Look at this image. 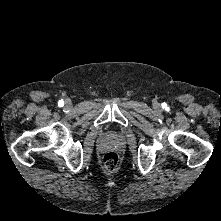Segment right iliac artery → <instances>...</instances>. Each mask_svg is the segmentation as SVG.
Segmentation results:
<instances>
[{"label": "right iliac artery", "mask_w": 221, "mask_h": 221, "mask_svg": "<svg viewBox=\"0 0 221 221\" xmlns=\"http://www.w3.org/2000/svg\"><path fill=\"white\" fill-rule=\"evenodd\" d=\"M63 105H64V101H63V100H59V101H58V106H59V107H62Z\"/></svg>", "instance_id": "1"}]
</instances>
